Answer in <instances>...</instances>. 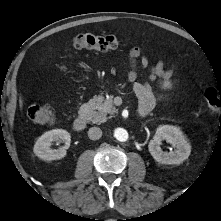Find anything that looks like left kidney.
<instances>
[{
	"label": "left kidney",
	"mask_w": 221,
	"mask_h": 221,
	"mask_svg": "<svg viewBox=\"0 0 221 221\" xmlns=\"http://www.w3.org/2000/svg\"><path fill=\"white\" fill-rule=\"evenodd\" d=\"M172 144L174 151H163L160 147L162 141ZM148 149L152 157L161 164H181L191 153V146L179 127L161 125L157 128Z\"/></svg>",
	"instance_id": "obj_1"
}]
</instances>
